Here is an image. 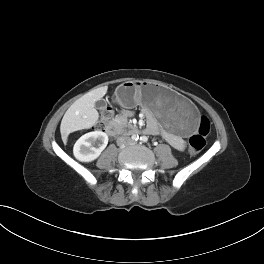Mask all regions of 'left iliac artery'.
I'll return each mask as SVG.
<instances>
[{
  "label": "left iliac artery",
  "mask_w": 264,
  "mask_h": 264,
  "mask_svg": "<svg viewBox=\"0 0 264 264\" xmlns=\"http://www.w3.org/2000/svg\"><path fill=\"white\" fill-rule=\"evenodd\" d=\"M140 141H141L142 143H147L148 138H147L146 136H141V137H140Z\"/></svg>",
  "instance_id": "left-iliac-artery-1"
}]
</instances>
